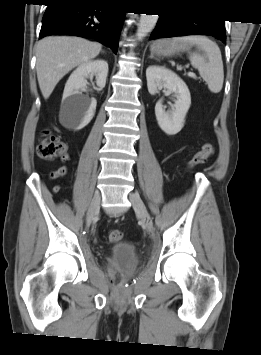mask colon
Returning a JSON list of instances; mask_svg holds the SVG:
<instances>
[{
  "mask_svg": "<svg viewBox=\"0 0 261 355\" xmlns=\"http://www.w3.org/2000/svg\"><path fill=\"white\" fill-rule=\"evenodd\" d=\"M67 145L59 136L53 132L46 130L43 132V137L37 146V154L43 160H56L65 155ZM214 154V146L211 143L203 145L202 149L194 154L188 163L189 168L205 164ZM57 186L55 190H59ZM109 242L116 243L122 239V232L118 229L109 230L107 233Z\"/></svg>",
  "mask_w": 261,
  "mask_h": 355,
  "instance_id": "5ec220e1",
  "label": "colon"
}]
</instances>
